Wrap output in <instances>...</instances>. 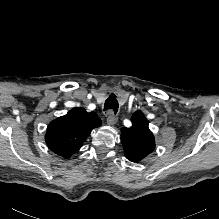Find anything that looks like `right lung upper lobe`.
I'll return each mask as SVG.
<instances>
[{
    "label": "right lung upper lobe",
    "mask_w": 219,
    "mask_h": 219,
    "mask_svg": "<svg viewBox=\"0 0 219 219\" xmlns=\"http://www.w3.org/2000/svg\"><path fill=\"white\" fill-rule=\"evenodd\" d=\"M100 125L101 120L96 113L73 108L49 124L45 141L51 151L69 158L82 147L91 130Z\"/></svg>",
    "instance_id": "obj_1"
}]
</instances>
